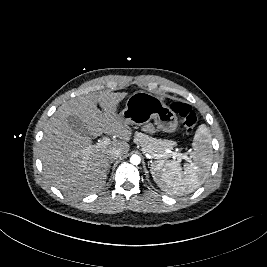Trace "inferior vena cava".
Returning <instances> with one entry per match:
<instances>
[{
  "mask_svg": "<svg viewBox=\"0 0 267 267\" xmlns=\"http://www.w3.org/2000/svg\"><path fill=\"white\" fill-rule=\"evenodd\" d=\"M120 156H122V151L118 148H112L108 153V158L110 160H115Z\"/></svg>",
  "mask_w": 267,
  "mask_h": 267,
  "instance_id": "1",
  "label": "inferior vena cava"
}]
</instances>
